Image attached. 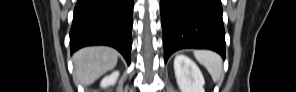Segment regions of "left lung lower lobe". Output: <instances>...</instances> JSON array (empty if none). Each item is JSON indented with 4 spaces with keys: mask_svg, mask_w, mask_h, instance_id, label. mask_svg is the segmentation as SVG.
<instances>
[{
    "mask_svg": "<svg viewBox=\"0 0 296 92\" xmlns=\"http://www.w3.org/2000/svg\"><path fill=\"white\" fill-rule=\"evenodd\" d=\"M165 62L183 48L211 49L225 58L221 0H160Z\"/></svg>",
    "mask_w": 296,
    "mask_h": 92,
    "instance_id": "1",
    "label": "left lung lower lobe"
}]
</instances>
